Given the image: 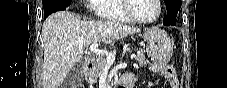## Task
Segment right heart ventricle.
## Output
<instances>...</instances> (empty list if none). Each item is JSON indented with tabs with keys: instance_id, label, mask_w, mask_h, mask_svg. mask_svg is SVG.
I'll return each instance as SVG.
<instances>
[{
	"instance_id": "1",
	"label": "right heart ventricle",
	"mask_w": 227,
	"mask_h": 88,
	"mask_svg": "<svg viewBox=\"0 0 227 88\" xmlns=\"http://www.w3.org/2000/svg\"><path fill=\"white\" fill-rule=\"evenodd\" d=\"M125 0H91L92 9L100 19L131 23L125 14L123 4Z\"/></svg>"
}]
</instances>
